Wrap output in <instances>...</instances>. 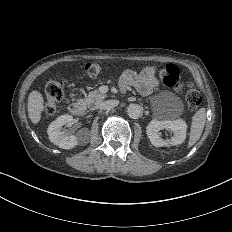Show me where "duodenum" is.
Masks as SVG:
<instances>
[{
	"label": "duodenum",
	"mask_w": 232,
	"mask_h": 232,
	"mask_svg": "<svg viewBox=\"0 0 232 232\" xmlns=\"http://www.w3.org/2000/svg\"><path fill=\"white\" fill-rule=\"evenodd\" d=\"M69 111L75 116H80L84 112V106L80 101L75 100L70 104Z\"/></svg>",
	"instance_id": "obj_1"
}]
</instances>
